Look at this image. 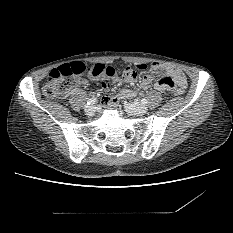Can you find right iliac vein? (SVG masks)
Segmentation results:
<instances>
[{
	"mask_svg": "<svg viewBox=\"0 0 233 233\" xmlns=\"http://www.w3.org/2000/svg\"><path fill=\"white\" fill-rule=\"evenodd\" d=\"M96 111V107L94 105H89V106H86L85 107V112L89 115V116H92L94 115Z\"/></svg>",
	"mask_w": 233,
	"mask_h": 233,
	"instance_id": "63e3f726",
	"label": "right iliac vein"
}]
</instances>
